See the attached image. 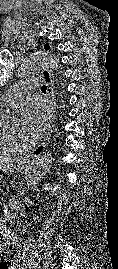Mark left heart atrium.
Returning a JSON list of instances; mask_svg holds the SVG:
<instances>
[{
    "mask_svg": "<svg viewBox=\"0 0 118 269\" xmlns=\"http://www.w3.org/2000/svg\"><path fill=\"white\" fill-rule=\"evenodd\" d=\"M49 110L45 103L39 100L30 102L23 113V126L30 139L40 137L49 124Z\"/></svg>",
    "mask_w": 118,
    "mask_h": 269,
    "instance_id": "1",
    "label": "left heart atrium"
}]
</instances>
